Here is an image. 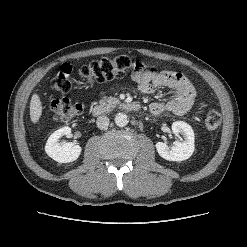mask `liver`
Segmentation results:
<instances>
[{
	"label": "liver",
	"mask_w": 247,
	"mask_h": 247,
	"mask_svg": "<svg viewBox=\"0 0 247 247\" xmlns=\"http://www.w3.org/2000/svg\"><path fill=\"white\" fill-rule=\"evenodd\" d=\"M42 103L38 94L34 93L30 101V118L32 123L36 124L42 115Z\"/></svg>",
	"instance_id": "1"
}]
</instances>
